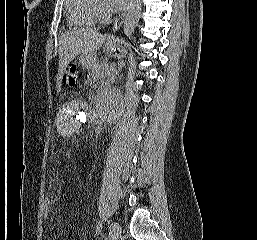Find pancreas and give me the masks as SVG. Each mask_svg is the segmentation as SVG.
I'll return each instance as SVG.
<instances>
[{"mask_svg":"<svg viewBox=\"0 0 257 240\" xmlns=\"http://www.w3.org/2000/svg\"><path fill=\"white\" fill-rule=\"evenodd\" d=\"M109 65L105 61L95 63L88 72L87 82L92 85L100 79H110Z\"/></svg>","mask_w":257,"mask_h":240,"instance_id":"obj_1","label":"pancreas"}]
</instances>
